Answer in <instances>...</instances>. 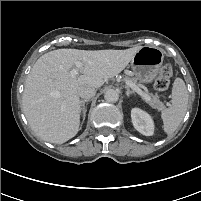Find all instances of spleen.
<instances>
[{
  "instance_id": "spleen-1",
  "label": "spleen",
  "mask_w": 201,
  "mask_h": 201,
  "mask_svg": "<svg viewBox=\"0 0 201 201\" xmlns=\"http://www.w3.org/2000/svg\"><path fill=\"white\" fill-rule=\"evenodd\" d=\"M188 97L184 81L181 78H176L173 83L170 107L161 114L166 134L174 133L183 120L187 111Z\"/></svg>"
}]
</instances>
